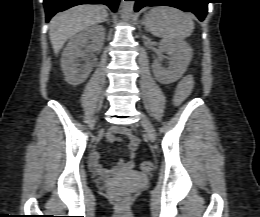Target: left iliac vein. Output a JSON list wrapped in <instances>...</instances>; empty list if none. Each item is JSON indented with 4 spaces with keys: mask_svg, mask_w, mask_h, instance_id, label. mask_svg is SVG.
<instances>
[{
    "mask_svg": "<svg viewBox=\"0 0 260 217\" xmlns=\"http://www.w3.org/2000/svg\"><path fill=\"white\" fill-rule=\"evenodd\" d=\"M140 123L143 126V128L145 129V132H146L148 138L151 141H155L156 133H155L154 127H153L152 123L150 122V120L144 114L140 115Z\"/></svg>",
    "mask_w": 260,
    "mask_h": 217,
    "instance_id": "obj_1",
    "label": "left iliac vein"
}]
</instances>
